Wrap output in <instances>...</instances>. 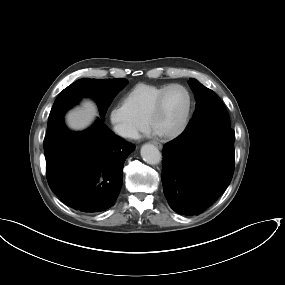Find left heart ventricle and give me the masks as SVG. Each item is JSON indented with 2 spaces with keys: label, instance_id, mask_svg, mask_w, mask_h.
I'll use <instances>...</instances> for the list:
<instances>
[{
  "label": "left heart ventricle",
  "instance_id": "b2bd125f",
  "mask_svg": "<svg viewBox=\"0 0 285 285\" xmlns=\"http://www.w3.org/2000/svg\"><path fill=\"white\" fill-rule=\"evenodd\" d=\"M187 106V95L180 87L171 88L164 98L161 111L153 120L157 131L169 132L173 130L182 118Z\"/></svg>",
  "mask_w": 285,
  "mask_h": 285
}]
</instances>
